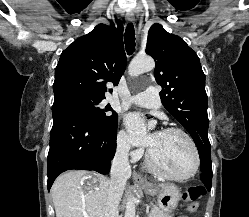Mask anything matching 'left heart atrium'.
I'll list each match as a JSON object with an SVG mask.
<instances>
[{
    "instance_id": "1",
    "label": "left heart atrium",
    "mask_w": 249,
    "mask_h": 217,
    "mask_svg": "<svg viewBox=\"0 0 249 217\" xmlns=\"http://www.w3.org/2000/svg\"><path fill=\"white\" fill-rule=\"evenodd\" d=\"M131 140L134 144L152 147L158 132L148 134L145 130L144 120L138 113L129 114L126 118Z\"/></svg>"
}]
</instances>
